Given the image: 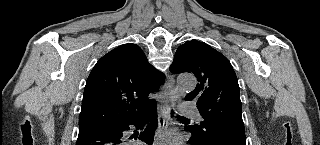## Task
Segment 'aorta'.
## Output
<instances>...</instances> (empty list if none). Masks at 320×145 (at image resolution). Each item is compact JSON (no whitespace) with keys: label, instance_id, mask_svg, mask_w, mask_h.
<instances>
[{"label":"aorta","instance_id":"1","mask_svg":"<svg viewBox=\"0 0 320 145\" xmlns=\"http://www.w3.org/2000/svg\"><path fill=\"white\" fill-rule=\"evenodd\" d=\"M196 86V79L189 74L179 75L177 78L176 98L184 95L186 92L193 90Z\"/></svg>","mask_w":320,"mask_h":145}]
</instances>
